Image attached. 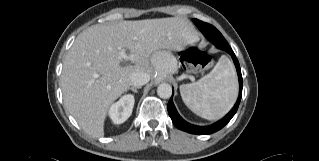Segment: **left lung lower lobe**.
I'll list each match as a JSON object with an SVG mask.
<instances>
[{"label": "left lung lower lobe", "mask_w": 319, "mask_h": 161, "mask_svg": "<svg viewBox=\"0 0 319 161\" xmlns=\"http://www.w3.org/2000/svg\"><path fill=\"white\" fill-rule=\"evenodd\" d=\"M201 32L205 35V37H210L213 38L212 32L209 30H206L205 27L201 24H199V27ZM222 50H225L226 52H228L231 56L232 59L234 61L236 70H237V74H238V79H239V96L237 99V102L235 103L234 107L231 109V111L225 116L223 117L221 120L217 121L216 123L212 124V125H208V126H195L192 125L188 122H186L177 112L174 103L172 101V98L170 99V101L168 102V113L169 116L172 119L173 124L180 130L186 131L188 133H192V134H199V135H207V134H212L214 132H217L218 130L222 129L231 119L232 117L235 115L241 97H242V75H241V69H240V65L239 62L233 52V50L231 49V47L229 45L223 46Z\"/></svg>", "instance_id": "1"}]
</instances>
